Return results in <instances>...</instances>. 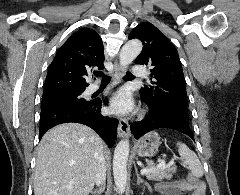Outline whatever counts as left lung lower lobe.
<instances>
[{
  "instance_id": "obj_1",
  "label": "left lung lower lobe",
  "mask_w": 240,
  "mask_h": 195,
  "mask_svg": "<svg viewBox=\"0 0 240 195\" xmlns=\"http://www.w3.org/2000/svg\"><path fill=\"white\" fill-rule=\"evenodd\" d=\"M159 128H169L180 131L194 140L193 132L189 126V116L180 110L150 109V113L145 119L140 122H133L130 125L131 132L135 139H139L145 133Z\"/></svg>"
}]
</instances>
